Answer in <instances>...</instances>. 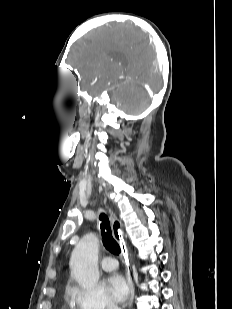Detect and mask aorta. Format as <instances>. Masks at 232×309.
I'll return each mask as SVG.
<instances>
[{"instance_id":"1","label":"aorta","mask_w":232,"mask_h":309,"mask_svg":"<svg viewBox=\"0 0 232 309\" xmlns=\"http://www.w3.org/2000/svg\"><path fill=\"white\" fill-rule=\"evenodd\" d=\"M98 253L99 240L93 233L85 235L72 252L71 273L84 288L93 287L99 281Z\"/></svg>"}]
</instances>
